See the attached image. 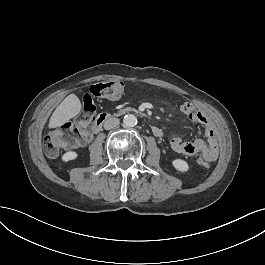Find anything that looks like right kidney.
Listing matches in <instances>:
<instances>
[{
  "label": "right kidney",
  "mask_w": 265,
  "mask_h": 265,
  "mask_svg": "<svg viewBox=\"0 0 265 265\" xmlns=\"http://www.w3.org/2000/svg\"><path fill=\"white\" fill-rule=\"evenodd\" d=\"M76 158H77V153L74 151L66 152L62 156V160L65 162H68V161L76 159Z\"/></svg>",
  "instance_id": "right-kidney-1"
}]
</instances>
